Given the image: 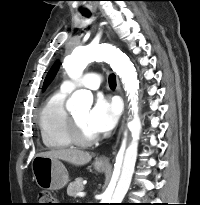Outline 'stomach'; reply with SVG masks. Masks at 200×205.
I'll return each instance as SVG.
<instances>
[{"label": "stomach", "mask_w": 200, "mask_h": 205, "mask_svg": "<svg viewBox=\"0 0 200 205\" xmlns=\"http://www.w3.org/2000/svg\"><path fill=\"white\" fill-rule=\"evenodd\" d=\"M32 172L37 185L42 189L58 190L69 181L68 172L61 161L55 158L35 156L32 160ZM97 171H104L107 165L94 162Z\"/></svg>", "instance_id": "0dacf381"}]
</instances>
